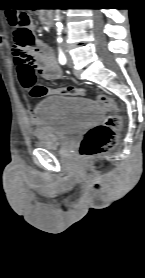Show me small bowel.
Segmentation results:
<instances>
[{
	"label": "small bowel",
	"instance_id": "small-bowel-1",
	"mask_svg": "<svg viewBox=\"0 0 145 278\" xmlns=\"http://www.w3.org/2000/svg\"><path fill=\"white\" fill-rule=\"evenodd\" d=\"M1 1L6 2L12 0ZM11 52L18 68V76L21 85L24 77L33 75L32 68L35 65L38 67L41 77L45 80H56L62 74L53 50L40 41H35L32 46L28 48H21L13 42Z\"/></svg>",
	"mask_w": 145,
	"mask_h": 278
}]
</instances>
